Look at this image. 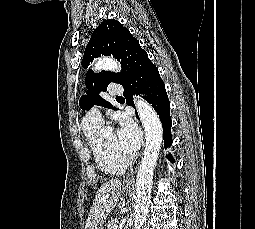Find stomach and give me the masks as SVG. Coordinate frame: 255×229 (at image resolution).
Returning a JSON list of instances; mask_svg holds the SVG:
<instances>
[{"mask_svg":"<svg viewBox=\"0 0 255 229\" xmlns=\"http://www.w3.org/2000/svg\"><path fill=\"white\" fill-rule=\"evenodd\" d=\"M124 189H125L126 191H129V190H130V187L125 186ZM90 229H104L103 223L98 224V225H95V226L91 227Z\"/></svg>","mask_w":255,"mask_h":229,"instance_id":"obj_1","label":"stomach"}]
</instances>
